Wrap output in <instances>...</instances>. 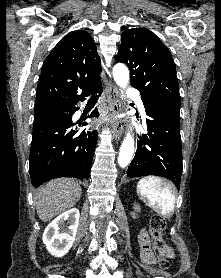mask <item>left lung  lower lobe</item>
<instances>
[{
    "mask_svg": "<svg viewBox=\"0 0 221 278\" xmlns=\"http://www.w3.org/2000/svg\"><path fill=\"white\" fill-rule=\"evenodd\" d=\"M147 134H142L127 170L128 177L157 175L170 179L179 189L182 151L179 109L142 96Z\"/></svg>",
    "mask_w": 221,
    "mask_h": 278,
    "instance_id": "0a47b994",
    "label": "left lung lower lobe"
}]
</instances>
